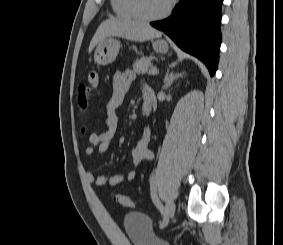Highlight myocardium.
<instances>
[{
    "instance_id": "obj_1",
    "label": "myocardium",
    "mask_w": 283,
    "mask_h": 245,
    "mask_svg": "<svg viewBox=\"0 0 283 245\" xmlns=\"http://www.w3.org/2000/svg\"><path fill=\"white\" fill-rule=\"evenodd\" d=\"M174 2L175 0H169L165 9L161 13L156 14V15H148L144 13V11L141 8V0H131V6L137 18L143 21L151 22V21H157V20H161L165 18L170 13L174 5Z\"/></svg>"
}]
</instances>
